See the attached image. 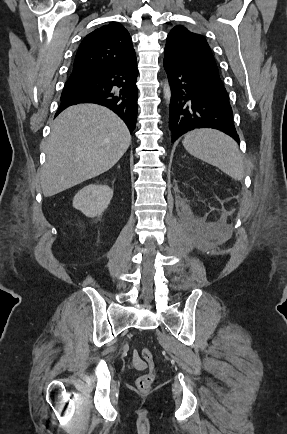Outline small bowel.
<instances>
[{
	"mask_svg": "<svg viewBox=\"0 0 287 434\" xmlns=\"http://www.w3.org/2000/svg\"><path fill=\"white\" fill-rule=\"evenodd\" d=\"M134 363L138 369H144L145 368V364L142 361H140L137 356H135V358H134Z\"/></svg>",
	"mask_w": 287,
	"mask_h": 434,
	"instance_id": "c3829d8e",
	"label": "small bowel"
}]
</instances>
